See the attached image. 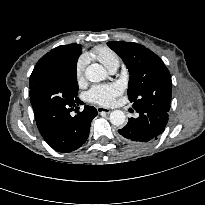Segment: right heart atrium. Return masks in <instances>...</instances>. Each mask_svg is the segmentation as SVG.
<instances>
[{
  "label": "right heart atrium",
  "mask_w": 205,
  "mask_h": 205,
  "mask_svg": "<svg viewBox=\"0 0 205 205\" xmlns=\"http://www.w3.org/2000/svg\"><path fill=\"white\" fill-rule=\"evenodd\" d=\"M86 64H87V57L81 55L78 58L75 66V75L78 81H81L83 79Z\"/></svg>",
  "instance_id": "right-heart-atrium-1"
}]
</instances>
